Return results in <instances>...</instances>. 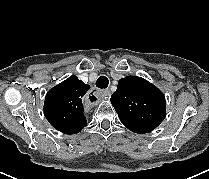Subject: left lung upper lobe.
Masks as SVG:
<instances>
[{"instance_id":"1","label":"left lung upper lobe","mask_w":209,"mask_h":179,"mask_svg":"<svg viewBox=\"0 0 209 179\" xmlns=\"http://www.w3.org/2000/svg\"><path fill=\"white\" fill-rule=\"evenodd\" d=\"M110 100L122 124L140 134L154 130L166 115L164 94L141 77L121 78Z\"/></svg>"}]
</instances>
